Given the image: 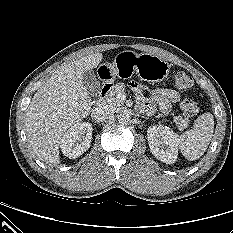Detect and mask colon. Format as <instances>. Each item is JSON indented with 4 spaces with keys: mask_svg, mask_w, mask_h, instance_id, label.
<instances>
[{
    "mask_svg": "<svg viewBox=\"0 0 233 233\" xmlns=\"http://www.w3.org/2000/svg\"><path fill=\"white\" fill-rule=\"evenodd\" d=\"M172 82L175 88L184 91L193 85V79L184 71H175L172 75ZM180 109L185 117L191 118L198 114L200 106L191 98H184L180 103Z\"/></svg>",
    "mask_w": 233,
    "mask_h": 233,
    "instance_id": "colon-1",
    "label": "colon"
}]
</instances>
